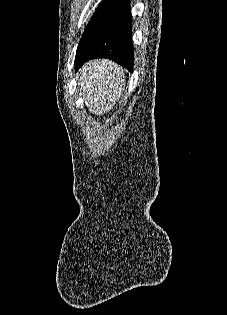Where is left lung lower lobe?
<instances>
[{"instance_id":"left-lung-lower-lobe-1","label":"left lung lower lobe","mask_w":227,"mask_h":315,"mask_svg":"<svg viewBox=\"0 0 227 315\" xmlns=\"http://www.w3.org/2000/svg\"><path fill=\"white\" fill-rule=\"evenodd\" d=\"M129 0H103L78 44L75 71L86 61L109 58L133 72L134 51Z\"/></svg>"}]
</instances>
